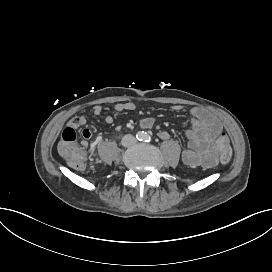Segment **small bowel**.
Masks as SVG:
<instances>
[{
    "label": "small bowel",
    "instance_id": "1",
    "mask_svg": "<svg viewBox=\"0 0 272 272\" xmlns=\"http://www.w3.org/2000/svg\"><path fill=\"white\" fill-rule=\"evenodd\" d=\"M135 108L136 106L132 102H119L114 105V111L117 113L133 111ZM173 108L178 111L182 109L181 106H174ZM102 112L103 108L101 105L93 106V115L100 116ZM189 113L191 116V126L185 132L188 143L182 150V160L188 166L203 165L205 163L204 156L210 146L211 140L221 132L222 125L214 114L204 108L193 107ZM103 121L105 124H112L114 118L111 115H106ZM86 123L87 118L84 115H79L71 119L66 126H73L77 129ZM153 124V118H144L140 121V125L143 128H150ZM116 129L120 130V127L117 126ZM81 136L84 139L82 145L86 147L88 145L87 141L92 136V132L89 128H83ZM158 136L160 139L166 140L169 138V133L167 131H160Z\"/></svg>",
    "mask_w": 272,
    "mask_h": 272
}]
</instances>
